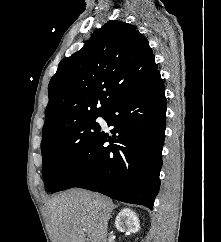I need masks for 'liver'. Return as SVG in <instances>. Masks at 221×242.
Returning <instances> with one entry per match:
<instances>
[{"label": "liver", "instance_id": "6515ba94", "mask_svg": "<svg viewBox=\"0 0 221 242\" xmlns=\"http://www.w3.org/2000/svg\"><path fill=\"white\" fill-rule=\"evenodd\" d=\"M114 208L110 199L97 193L70 189L59 194L47 203L52 242H106Z\"/></svg>", "mask_w": 221, "mask_h": 242}]
</instances>
